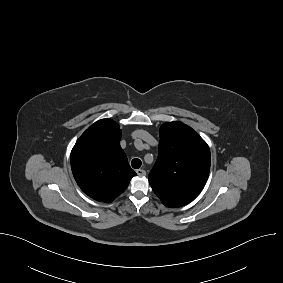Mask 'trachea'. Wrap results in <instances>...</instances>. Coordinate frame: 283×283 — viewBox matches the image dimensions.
<instances>
[{
  "mask_svg": "<svg viewBox=\"0 0 283 283\" xmlns=\"http://www.w3.org/2000/svg\"><path fill=\"white\" fill-rule=\"evenodd\" d=\"M131 165L134 169H138L141 167V160L138 158H135L131 161Z\"/></svg>",
  "mask_w": 283,
  "mask_h": 283,
  "instance_id": "obj_1",
  "label": "trachea"
}]
</instances>
